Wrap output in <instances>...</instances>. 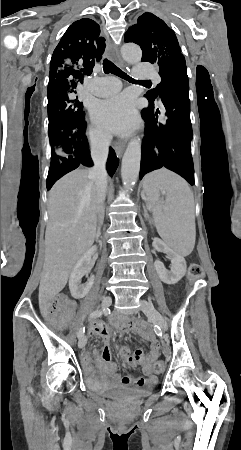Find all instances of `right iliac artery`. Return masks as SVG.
Listing matches in <instances>:
<instances>
[{
	"instance_id": "1",
	"label": "right iliac artery",
	"mask_w": 241,
	"mask_h": 450,
	"mask_svg": "<svg viewBox=\"0 0 241 450\" xmlns=\"http://www.w3.org/2000/svg\"><path fill=\"white\" fill-rule=\"evenodd\" d=\"M104 313V310H96L90 314V318L100 317ZM85 333V327H81L78 331V338H81Z\"/></svg>"
}]
</instances>
